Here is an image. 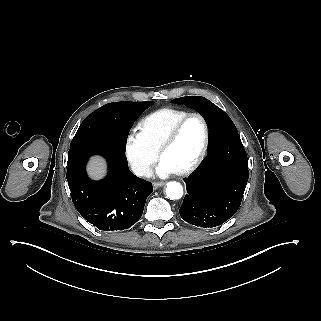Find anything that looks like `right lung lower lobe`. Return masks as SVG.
<instances>
[{
	"mask_svg": "<svg viewBox=\"0 0 321 321\" xmlns=\"http://www.w3.org/2000/svg\"><path fill=\"white\" fill-rule=\"evenodd\" d=\"M143 111L126 103L106 107L103 114L119 146L79 145L68 152L66 177L72 201L82 217L100 230L130 228L140 219L146 198L153 191L150 182L130 172L124 155L128 133ZM95 154L102 155L109 165L101 181H93L86 174V163Z\"/></svg>",
	"mask_w": 321,
	"mask_h": 321,
	"instance_id": "obj_1",
	"label": "right lung lower lobe"
}]
</instances>
